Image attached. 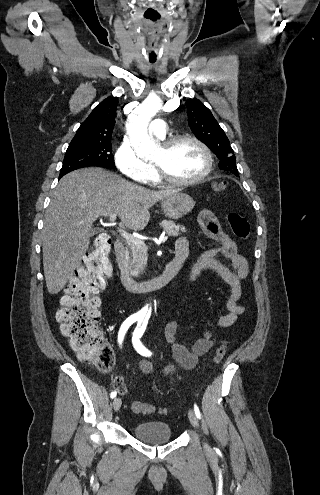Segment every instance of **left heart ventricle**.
<instances>
[{
    "mask_svg": "<svg viewBox=\"0 0 320 495\" xmlns=\"http://www.w3.org/2000/svg\"><path fill=\"white\" fill-rule=\"evenodd\" d=\"M153 162L176 179L194 178L201 174L206 166L202 151L192 142H182L169 151L162 147Z\"/></svg>",
    "mask_w": 320,
    "mask_h": 495,
    "instance_id": "left-heart-ventricle-1",
    "label": "left heart ventricle"
}]
</instances>
